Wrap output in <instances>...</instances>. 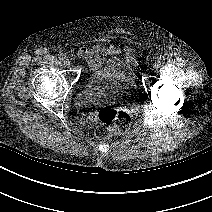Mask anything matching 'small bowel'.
Listing matches in <instances>:
<instances>
[{
    "label": "small bowel",
    "mask_w": 212,
    "mask_h": 212,
    "mask_svg": "<svg viewBox=\"0 0 212 212\" xmlns=\"http://www.w3.org/2000/svg\"><path fill=\"white\" fill-rule=\"evenodd\" d=\"M118 49L110 44L107 46H101L98 44L83 47L79 50V55L88 60V64L91 68H97L101 66L104 59L117 55ZM127 54L130 55L128 52Z\"/></svg>",
    "instance_id": "c3829d8e"
}]
</instances>
